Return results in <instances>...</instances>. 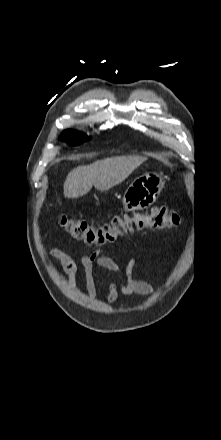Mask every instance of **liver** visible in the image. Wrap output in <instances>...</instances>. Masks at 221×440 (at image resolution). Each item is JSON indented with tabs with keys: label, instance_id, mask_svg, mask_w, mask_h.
I'll use <instances>...</instances> for the list:
<instances>
[{
	"label": "liver",
	"instance_id": "6515ba94",
	"mask_svg": "<svg viewBox=\"0 0 221 440\" xmlns=\"http://www.w3.org/2000/svg\"><path fill=\"white\" fill-rule=\"evenodd\" d=\"M146 157L121 156L97 161L73 169L64 182V196L78 198L86 195L94 185L99 191H107L123 182Z\"/></svg>",
	"mask_w": 221,
	"mask_h": 440
}]
</instances>
